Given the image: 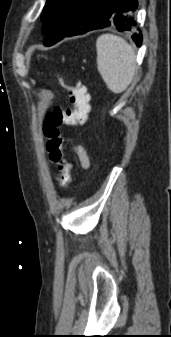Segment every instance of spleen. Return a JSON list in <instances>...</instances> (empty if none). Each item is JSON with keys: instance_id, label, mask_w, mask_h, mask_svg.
Here are the masks:
<instances>
[{"instance_id": "3e777b00", "label": "spleen", "mask_w": 171, "mask_h": 337, "mask_svg": "<svg viewBox=\"0 0 171 337\" xmlns=\"http://www.w3.org/2000/svg\"><path fill=\"white\" fill-rule=\"evenodd\" d=\"M96 49L98 71L104 82L113 93H122L136 70L133 47L119 36L103 34L96 41Z\"/></svg>"}]
</instances>
